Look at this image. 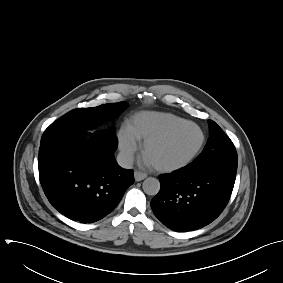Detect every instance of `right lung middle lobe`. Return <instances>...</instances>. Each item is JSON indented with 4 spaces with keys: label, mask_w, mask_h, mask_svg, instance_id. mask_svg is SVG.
<instances>
[{
    "label": "right lung middle lobe",
    "mask_w": 283,
    "mask_h": 283,
    "mask_svg": "<svg viewBox=\"0 0 283 283\" xmlns=\"http://www.w3.org/2000/svg\"><path fill=\"white\" fill-rule=\"evenodd\" d=\"M126 102L103 104L94 108L74 109L53 122L43 133L40 147L66 137L82 132L97 125L104 118L114 117L126 108Z\"/></svg>",
    "instance_id": "obj_1"
}]
</instances>
